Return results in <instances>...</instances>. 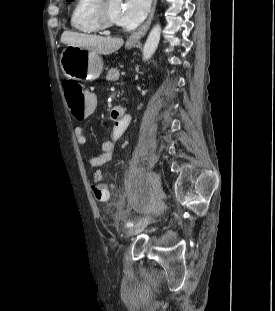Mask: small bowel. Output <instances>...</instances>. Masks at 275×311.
Wrapping results in <instances>:
<instances>
[{"label":"small bowel","mask_w":275,"mask_h":311,"mask_svg":"<svg viewBox=\"0 0 275 311\" xmlns=\"http://www.w3.org/2000/svg\"><path fill=\"white\" fill-rule=\"evenodd\" d=\"M108 118L106 125L112 126L110 138L103 142L100 155L86 157V163L90 168H98L111 161L116 142L122 137L130 123V116L126 115V110L114 109ZM74 136L79 145H84L87 141L86 132L82 126L75 128Z\"/></svg>","instance_id":"obj_1"}]
</instances>
